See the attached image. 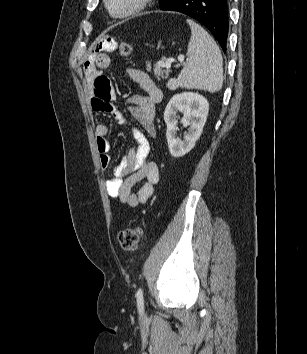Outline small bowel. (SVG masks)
I'll return each instance as SVG.
<instances>
[{"instance_id":"obj_1","label":"small bowel","mask_w":307,"mask_h":354,"mask_svg":"<svg viewBox=\"0 0 307 354\" xmlns=\"http://www.w3.org/2000/svg\"><path fill=\"white\" fill-rule=\"evenodd\" d=\"M116 47L117 43L112 37L107 36L101 39L99 45L84 61L83 70L87 84L92 86L93 109L97 112L110 114L119 124L126 125V117L113 104L115 93L111 88L110 80L100 73L110 64L109 56L103 51L113 50ZM127 72L144 91V94L135 95L129 99L132 113L139 127L133 129L135 145L129 149L126 156L114 168V177L106 181V190L110 197L118 198L121 203L127 206L137 207L151 198L154 186L159 181V168L149 159V138L155 134V105L161 101L162 92L146 72L134 68H129ZM108 131L106 123L99 122L96 125V144L100 165L103 169H107L111 163ZM139 182L143 183L135 193L133 187Z\"/></svg>"}]
</instances>
